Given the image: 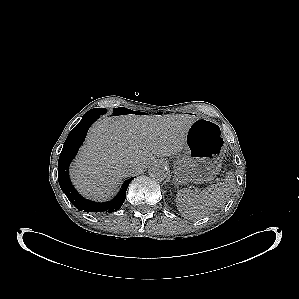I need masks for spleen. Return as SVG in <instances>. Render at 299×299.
Segmentation results:
<instances>
[{
  "label": "spleen",
  "mask_w": 299,
  "mask_h": 299,
  "mask_svg": "<svg viewBox=\"0 0 299 299\" xmlns=\"http://www.w3.org/2000/svg\"><path fill=\"white\" fill-rule=\"evenodd\" d=\"M234 187L235 176L230 173L223 183L211 185L198 194L191 190L181 189L177 192L175 199L177 209L187 218H203L224 206Z\"/></svg>",
  "instance_id": "obj_1"
}]
</instances>
